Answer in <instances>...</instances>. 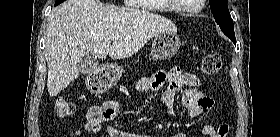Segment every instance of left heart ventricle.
<instances>
[{
  "label": "left heart ventricle",
  "instance_id": "left-heart-ventricle-1",
  "mask_svg": "<svg viewBox=\"0 0 280 137\" xmlns=\"http://www.w3.org/2000/svg\"><path fill=\"white\" fill-rule=\"evenodd\" d=\"M186 6H195L197 4V0H185Z\"/></svg>",
  "mask_w": 280,
  "mask_h": 137
}]
</instances>
